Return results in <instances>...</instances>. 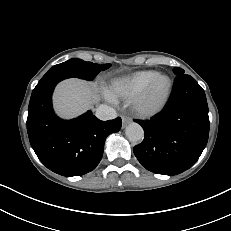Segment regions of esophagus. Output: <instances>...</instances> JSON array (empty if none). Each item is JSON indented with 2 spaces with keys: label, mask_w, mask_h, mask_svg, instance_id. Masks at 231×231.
<instances>
[{
  "label": "esophagus",
  "mask_w": 231,
  "mask_h": 231,
  "mask_svg": "<svg viewBox=\"0 0 231 231\" xmlns=\"http://www.w3.org/2000/svg\"><path fill=\"white\" fill-rule=\"evenodd\" d=\"M131 122V119L127 116H122V125L123 127H125L126 125H128Z\"/></svg>",
  "instance_id": "1"
}]
</instances>
